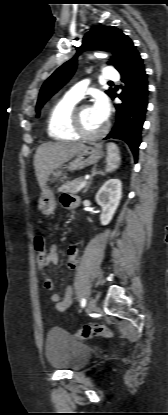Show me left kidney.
<instances>
[{
	"label": "left kidney",
	"mask_w": 168,
	"mask_h": 415,
	"mask_svg": "<svg viewBox=\"0 0 168 415\" xmlns=\"http://www.w3.org/2000/svg\"><path fill=\"white\" fill-rule=\"evenodd\" d=\"M122 197V183L119 179L106 181L95 196L98 205L101 206L102 213L100 222L103 226L108 225L117 210Z\"/></svg>",
	"instance_id": "5707ae66"
}]
</instances>
